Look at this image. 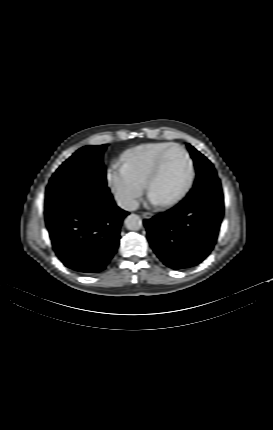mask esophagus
<instances>
[{
  "mask_svg": "<svg viewBox=\"0 0 273 430\" xmlns=\"http://www.w3.org/2000/svg\"><path fill=\"white\" fill-rule=\"evenodd\" d=\"M142 216H143L144 218H146V219H151V218L153 217V214H152V213H150V212H144V213L142 214Z\"/></svg>",
  "mask_w": 273,
  "mask_h": 430,
  "instance_id": "1",
  "label": "esophagus"
}]
</instances>
